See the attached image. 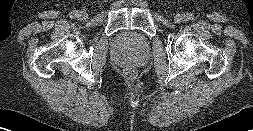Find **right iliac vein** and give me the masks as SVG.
<instances>
[{"label": "right iliac vein", "instance_id": "right-iliac-vein-1", "mask_svg": "<svg viewBox=\"0 0 253 131\" xmlns=\"http://www.w3.org/2000/svg\"><path fill=\"white\" fill-rule=\"evenodd\" d=\"M87 17H88V15H87V13L84 12V11H81V12L78 13V18H79L80 20H86Z\"/></svg>", "mask_w": 253, "mask_h": 131}]
</instances>
